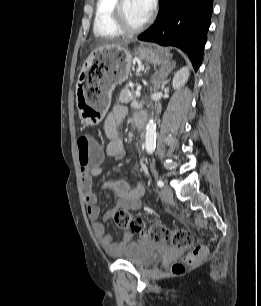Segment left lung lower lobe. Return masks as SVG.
<instances>
[{"label": "left lung lower lobe", "instance_id": "0a47b994", "mask_svg": "<svg viewBox=\"0 0 261 306\" xmlns=\"http://www.w3.org/2000/svg\"><path fill=\"white\" fill-rule=\"evenodd\" d=\"M213 0H160L155 23L138 36L185 51L195 70L201 64L210 26Z\"/></svg>", "mask_w": 261, "mask_h": 306}]
</instances>
